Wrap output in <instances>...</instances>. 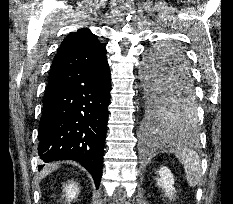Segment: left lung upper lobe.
I'll return each mask as SVG.
<instances>
[{
	"mask_svg": "<svg viewBox=\"0 0 233 204\" xmlns=\"http://www.w3.org/2000/svg\"><path fill=\"white\" fill-rule=\"evenodd\" d=\"M179 60L187 62L182 49L172 43L158 45L148 52L143 65L147 120L159 119V126L167 131L194 132L198 120L194 89L176 95L173 100L166 93L161 94L163 85L174 73Z\"/></svg>",
	"mask_w": 233,
	"mask_h": 204,
	"instance_id": "left-lung-upper-lobe-1",
	"label": "left lung upper lobe"
}]
</instances>
